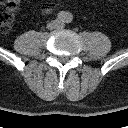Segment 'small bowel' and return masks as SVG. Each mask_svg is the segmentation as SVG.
Returning a JSON list of instances; mask_svg holds the SVG:
<instances>
[{
    "instance_id": "obj_1",
    "label": "small bowel",
    "mask_w": 128,
    "mask_h": 128,
    "mask_svg": "<svg viewBox=\"0 0 128 128\" xmlns=\"http://www.w3.org/2000/svg\"><path fill=\"white\" fill-rule=\"evenodd\" d=\"M53 9H54V5H43L41 7V13L46 15L51 13Z\"/></svg>"
}]
</instances>
